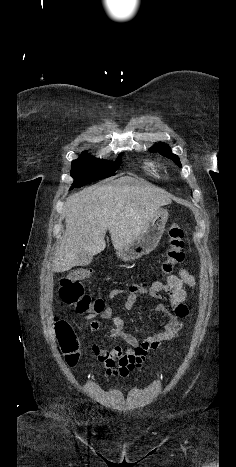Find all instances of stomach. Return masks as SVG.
<instances>
[{"mask_svg":"<svg viewBox=\"0 0 236 467\" xmlns=\"http://www.w3.org/2000/svg\"><path fill=\"white\" fill-rule=\"evenodd\" d=\"M168 211L159 208L151 216L143 231L127 246L116 250V255L123 261H133L153 251L165 229Z\"/></svg>","mask_w":236,"mask_h":467,"instance_id":"1","label":"stomach"}]
</instances>
